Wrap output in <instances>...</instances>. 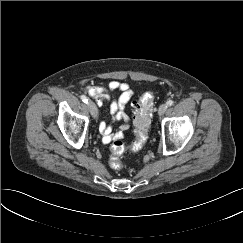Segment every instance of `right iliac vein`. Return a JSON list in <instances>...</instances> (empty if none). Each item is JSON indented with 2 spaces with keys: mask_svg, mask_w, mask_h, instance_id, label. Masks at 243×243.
Listing matches in <instances>:
<instances>
[{
  "mask_svg": "<svg viewBox=\"0 0 243 243\" xmlns=\"http://www.w3.org/2000/svg\"><path fill=\"white\" fill-rule=\"evenodd\" d=\"M88 107H89L90 113L93 116V118L97 119L98 118V110H97L96 105L92 101H89Z\"/></svg>",
  "mask_w": 243,
  "mask_h": 243,
  "instance_id": "right-iliac-vein-1",
  "label": "right iliac vein"
}]
</instances>
